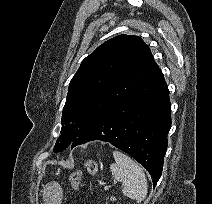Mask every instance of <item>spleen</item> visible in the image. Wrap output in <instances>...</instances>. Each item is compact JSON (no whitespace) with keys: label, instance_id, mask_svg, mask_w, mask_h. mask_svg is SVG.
<instances>
[{"label":"spleen","instance_id":"obj_1","mask_svg":"<svg viewBox=\"0 0 212 204\" xmlns=\"http://www.w3.org/2000/svg\"><path fill=\"white\" fill-rule=\"evenodd\" d=\"M115 162L110 165L113 177L123 185V194L138 202L147 196V180L143 169L129 156L113 151Z\"/></svg>","mask_w":212,"mask_h":204}]
</instances>
